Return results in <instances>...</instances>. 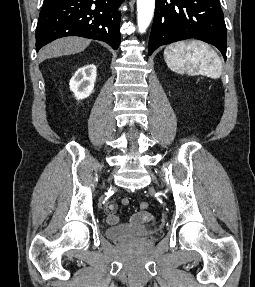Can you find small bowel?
<instances>
[{"mask_svg":"<svg viewBox=\"0 0 255 287\" xmlns=\"http://www.w3.org/2000/svg\"><path fill=\"white\" fill-rule=\"evenodd\" d=\"M123 205H127L129 203L128 198H123L121 200ZM105 211L107 214L106 221L109 225H116L119 222V217L117 215V206L115 203H108L105 206ZM158 217L147 211H139L129 217L128 223L131 225H141V224H156L158 222Z\"/></svg>","mask_w":255,"mask_h":287,"instance_id":"small-bowel-1","label":"small bowel"}]
</instances>
